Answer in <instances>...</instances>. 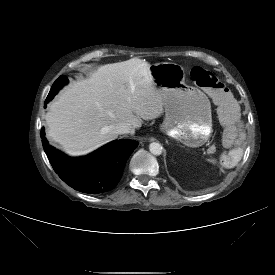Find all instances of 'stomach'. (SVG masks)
I'll list each match as a JSON object with an SVG mask.
<instances>
[{
  "mask_svg": "<svg viewBox=\"0 0 275 275\" xmlns=\"http://www.w3.org/2000/svg\"><path fill=\"white\" fill-rule=\"evenodd\" d=\"M149 70L165 110L160 130L188 147L202 146L212 133L208 97L185 83V71L179 64L161 62Z\"/></svg>",
  "mask_w": 275,
  "mask_h": 275,
  "instance_id": "0dacf381",
  "label": "stomach"
}]
</instances>
